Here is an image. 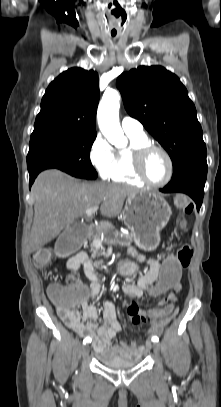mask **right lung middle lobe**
Instances as JSON below:
<instances>
[{"label":"right lung middle lobe","mask_w":221,"mask_h":407,"mask_svg":"<svg viewBox=\"0 0 221 407\" xmlns=\"http://www.w3.org/2000/svg\"><path fill=\"white\" fill-rule=\"evenodd\" d=\"M95 138L96 134L66 129L33 131L27 155L29 173L57 168L77 178L95 179L97 173L90 162Z\"/></svg>","instance_id":"dd1d6c3e"}]
</instances>
